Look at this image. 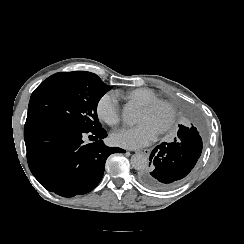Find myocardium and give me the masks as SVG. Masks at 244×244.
<instances>
[{
    "mask_svg": "<svg viewBox=\"0 0 244 244\" xmlns=\"http://www.w3.org/2000/svg\"><path fill=\"white\" fill-rule=\"evenodd\" d=\"M140 107L143 110H146V111L154 110V109H156L158 107H164L165 111L169 115L170 122H169L168 126L165 128V130L161 134L167 133L171 129L172 124H173L172 121H175V114L173 112V109L169 106L168 102L156 101V102H152V103L142 104V105H140Z\"/></svg>",
    "mask_w": 244,
    "mask_h": 244,
    "instance_id": "obj_1",
    "label": "myocardium"
}]
</instances>
